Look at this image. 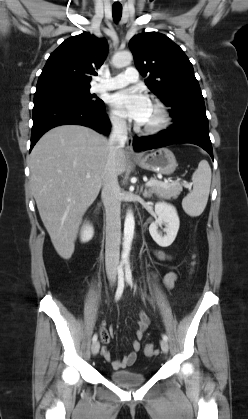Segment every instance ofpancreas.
Here are the masks:
<instances>
[{"mask_svg": "<svg viewBox=\"0 0 248 419\" xmlns=\"http://www.w3.org/2000/svg\"><path fill=\"white\" fill-rule=\"evenodd\" d=\"M151 180L157 179L151 178ZM150 190L152 193H155L158 197L170 200L171 198L176 199L180 195L182 191V186L177 183H168L165 186H152Z\"/></svg>", "mask_w": 248, "mask_h": 419, "instance_id": "obj_1", "label": "pancreas"}]
</instances>
